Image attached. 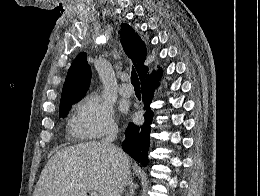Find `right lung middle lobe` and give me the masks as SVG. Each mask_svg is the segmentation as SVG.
Segmentation results:
<instances>
[{
    "instance_id": "obj_1",
    "label": "right lung middle lobe",
    "mask_w": 260,
    "mask_h": 196,
    "mask_svg": "<svg viewBox=\"0 0 260 196\" xmlns=\"http://www.w3.org/2000/svg\"><path fill=\"white\" fill-rule=\"evenodd\" d=\"M77 101H78V100H76V101L70 103L69 105H67L66 107L60 109V110H59L60 117L65 118V117L67 116V113H68L70 107H71L74 103H76Z\"/></svg>"
}]
</instances>
